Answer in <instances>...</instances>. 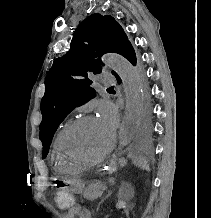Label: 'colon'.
<instances>
[{
	"label": "colon",
	"mask_w": 211,
	"mask_h": 218,
	"mask_svg": "<svg viewBox=\"0 0 211 218\" xmlns=\"http://www.w3.org/2000/svg\"><path fill=\"white\" fill-rule=\"evenodd\" d=\"M55 202L60 208L70 209L75 206V197L68 187L59 186L55 194Z\"/></svg>",
	"instance_id": "colon-1"
}]
</instances>
